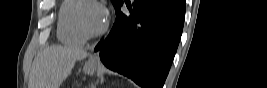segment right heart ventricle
I'll return each mask as SVG.
<instances>
[{"mask_svg": "<svg viewBox=\"0 0 267 88\" xmlns=\"http://www.w3.org/2000/svg\"><path fill=\"white\" fill-rule=\"evenodd\" d=\"M80 1H64L58 23V38L66 45L81 46L85 43L86 37L81 33L77 22V9Z\"/></svg>", "mask_w": 267, "mask_h": 88, "instance_id": "1", "label": "right heart ventricle"}]
</instances>
